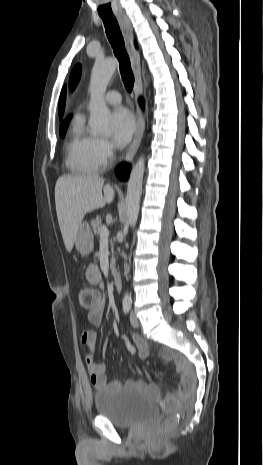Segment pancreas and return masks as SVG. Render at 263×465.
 Listing matches in <instances>:
<instances>
[{
    "instance_id": "obj_1",
    "label": "pancreas",
    "mask_w": 263,
    "mask_h": 465,
    "mask_svg": "<svg viewBox=\"0 0 263 465\" xmlns=\"http://www.w3.org/2000/svg\"><path fill=\"white\" fill-rule=\"evenodd\" d=\"M101 222H102V220H101L100 216H96L95 219L91 220V227H92V230H93V232H94V234L96 236H100V231H101V227H102ZM112 251H113V248H112ZM114 265H115V259H114V257H112L111 264H110L111 270L114 269Z\"/></svg>"
}]
</instances>
